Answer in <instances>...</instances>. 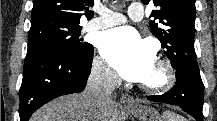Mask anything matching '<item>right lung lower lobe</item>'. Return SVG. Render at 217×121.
<instances>
[{
    "instance_id": "98d812e1",
    "label": "right lung lower lobe",
    "mask_w": 217,
    "mask_h": 121,
    "mask_svg": "<svg viewBox=\"0 0 217 121\" xmlns=\"http://www.w3.org/2000/svg\"><path fill=\"white\" fill-rule=\"evenodd\" d=\"M94 48L83 56L62 52H38L26 55L19 91L20 121L50 100L81 92L91 72Z\"/></svg>"
}]
</instances>
